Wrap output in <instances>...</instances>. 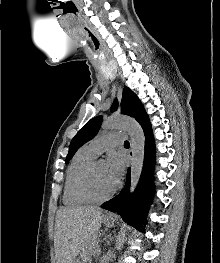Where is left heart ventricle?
I'll return each instance as SVG.
<instances>
[{"label": "left heart ventricle", "instance_id": "obj_1", "mask_svg": "<svg viewBox=\"0 0 220 263\" xmlns=\"http://www.w3.org/2000/svg\"><path fill=\"white\" fill-rule=\"evenodd\" d=\"M92 185L94 191L99 195L108 193L115 186V183L107 176L103 162H97L95 164Z\"/></svg>", "mask_w": 220, "mask_h": 263}]
</instances>
